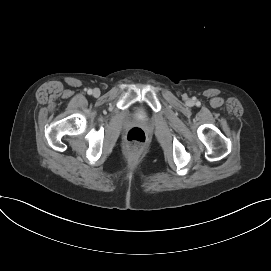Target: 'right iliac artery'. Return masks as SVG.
<instances>
[{
  "mask_svg": "<svg viewBox=\"0 0 271 271\" xmlns=\"http://www.w3.org/2000/svg\"><path fill=\"white\" fill-rule=\"evenodd\" d=\"M87 92H88V94L91 95L93 91H92V89H89Z\"/></svg>",
  "mask_w": 271,
  "mask_h": 271,
  "instance_id": "right-iliac-artery-1",
  "label": "right iliac artery"
}]
</instances>
